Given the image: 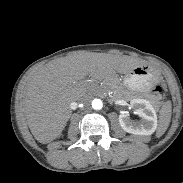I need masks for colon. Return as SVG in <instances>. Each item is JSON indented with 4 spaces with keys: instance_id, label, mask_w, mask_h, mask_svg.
Wrapping results in <instances>:
<instances>
[{
    "instance_id": "5ec220e1",
    "label": "colon",
    "mask_w": 183,
    "mask_h": 183,
    "mask_svg": "<svg viewBox=\"0 0 183 183\" xmlns=\"http://www.w3.org/2000/svg\"><path fill=\"white\" fill-rule=\"evenodd\" d=\"M153 91L155 94H160L162 92V87L157 84L153 87Z\"/></svg>"
}]
</instances>
